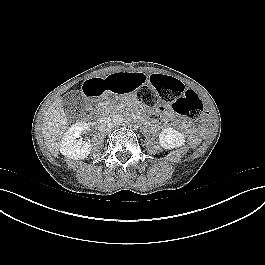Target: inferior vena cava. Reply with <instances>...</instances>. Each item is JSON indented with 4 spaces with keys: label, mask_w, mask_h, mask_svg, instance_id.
Returning <instances> with one entry per match:
<instances>
[{
    "label": "inferior vena cava",
    "mask_w": 265,
    "mask_h": 265,
    "mask_svg": "<svg viewBox=\"0 0 265 265\" xmlns=\"http://www.w3.org/2000/svg\"><path fill=\"white\" fill-rule=\"evenodd\" d=\"M114 124L110 117H101L98 120V130L100 132L106 133L113 128Z\"/></svg>",
    "instance_id": "inferior-vena-cava-1"
}]
</instances>
